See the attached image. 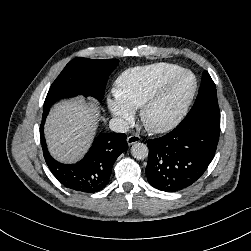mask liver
I'll use <instances>...</instances> for the list:
<instances>
[{
    "instance_id": "liver-1",
    "label": "liver",
    "mask_w": 251,
    "mask_h": 251,
    "mask_svg": "<svg viewBox=\"0 0 251 251\" xmlns=\"http://www.w3.org/2000/svg\"><path fill=\"white\" fill-rule=\"evenodd\" d=\"M98 118L99 108L92 101L64 100L54 105L45 125L51 155L64 163L78 161L89 148Z\"/></svg>"
}]
</instances>
